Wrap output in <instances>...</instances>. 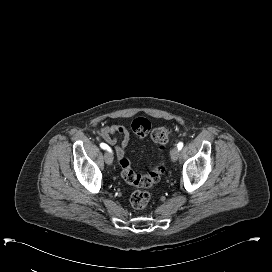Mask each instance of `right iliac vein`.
I'll return each instance as SVG.
<instances>
[{
    "label": "right iliac vein",
    "mask_w": 272,
    "mask_h": 272,
    "mask_svg": "<svg viewBox=\"0 0 272 272\" xmlns=\"http://www.w3.org/2000/svg\"><path fill=\"white\" fill-rule=\"evenodd\" d=\"M104 158L106 164L111 165L113 163V155L110 151L105 152Z\"/></svg>",
    "instance_id": "obj_1"
}]
</instances>
